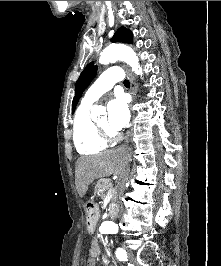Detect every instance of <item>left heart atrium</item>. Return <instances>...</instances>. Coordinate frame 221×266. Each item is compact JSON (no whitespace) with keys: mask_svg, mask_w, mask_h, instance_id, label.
I'll list each match as a JSON object with an SVG mask.
<instances>
[{"mask_svg":"<svg viewBox=\"0 0 221 266\" xmlns=\"http://www.w3.org/2000/svg\"><path fill=\"white\" fill-rule=\"evenodd\" d=\"M108 122L111 129L117 131L129 121V110L124 96L117 95L107 104Z\"/></svg>","mask_w":221,"mask_h":266,"instance_id":"39dd6f15","label":"left heart atrium"}]
</instances>
